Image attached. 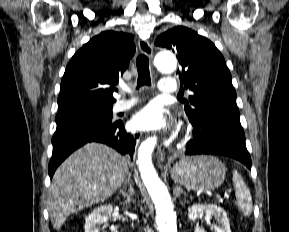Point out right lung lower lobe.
Here are the masks:
<instances>
[{"label":"right lung lower lobe","mask_w":289,"mask_h":232,"mask_svg":"<svg viewBox=\"0 0 289 232\" xmlns=\"http://www.w3.org/2000/svg\"><path fill=\"white\" fill-rule=\"evenodd\" d=\"M138 135L127 133L122 121L111 123L79 121L58 124L52 138L53 153L48 170L50 177L73 151L87 142H99L132 157Z\"/></svg>","instance_id":"right-lung-lower-lobe-1"}]
</instances>
